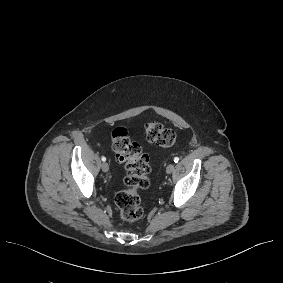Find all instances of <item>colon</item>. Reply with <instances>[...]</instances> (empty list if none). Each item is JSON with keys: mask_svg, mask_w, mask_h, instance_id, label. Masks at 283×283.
<instances>
[{"mask_svg": "<svg viewBox=\"0 0 283 283\" xmlns=\"http://www.w3.org/2000/svg\"><path fill=\"white\" fill-rule=\"evenodd\" d=\"M145 134L149 142L163 148H170L176 144V134L159 122L151 121L145 125ZM112 149L118 161L125 164L126 188L115 196V204L121 218L129 223L139 221L144 214L139 196L140 190L150 185L151 170L149 157L142 152L141 146L130 139L125 128H116L111 134Z\"/></svg>", "mask_w": 283, "mask_h": 283, "instance_id": "colon-1", "label": "colon"}]
</instances>
